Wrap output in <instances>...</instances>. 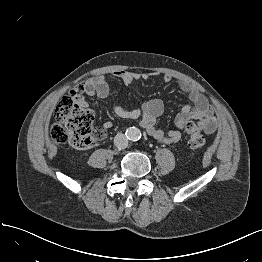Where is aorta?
<instances>
[{
	"instance_id": "aorta-1",
	"label": "aorta",
	"mask_w": 262,
	"mask_h": 262,
	"mask_svg": "<svg viewBox=\"0 0 262 262\" xmlns=\"http://www.w3.org/2000/svg\"><path fill=\"white\" fill-rule=\"evenodd\" d=\"M127 137L132 141H137L141 138V131L136 127H130L127 130Z\"/></svg>"
}]
</instances>
